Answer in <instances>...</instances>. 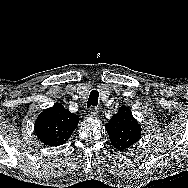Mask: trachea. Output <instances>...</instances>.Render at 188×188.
<instances>
[{
  "mask_svg": "<svg viewBox=\"0 0 188 188\" xmlns=\"http://www.w3.org/2000/svg\"><path fill=\"white\" fill-rule=\"evenodd\" d=\"M98 98H99V92L97 90H92L90 92L88 101H87V107H95L98 104Z\"/></svg>",
  "mask_w": 188,
  "mask_h": 188,
  "instance_id": "3493384b",
  "label": "trachea"
}]
</instances>
